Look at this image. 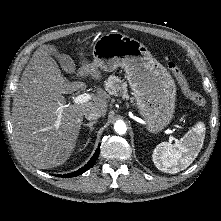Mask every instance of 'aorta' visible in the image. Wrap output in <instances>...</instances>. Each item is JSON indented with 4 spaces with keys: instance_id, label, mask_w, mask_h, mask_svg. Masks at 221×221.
Instances as JSON below:
<instances>
[{
    "instance_id": "762f6f07",
    "label": "aorta",
    "mask_w": 221,
    "mask_h": 221,
    "mask_svg": "<svg viewBox=\"0 0 221 221\" xmlns=\"http://www.w3.org/2000/svg\"><path fill=\"white\" fill-rule=\"evenodd\" d=\"M114 130L116 133H118L119 135H123L126 133L127 131V126L125 124L124 121L122 120H118L116 121V123L114 124Z\"/></svg>"
}]
</instances>
